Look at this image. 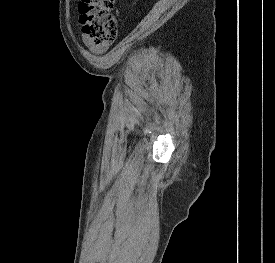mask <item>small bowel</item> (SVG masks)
I'll return each mask as SVG.
<instances>
[{
	"instance_id": "1",
	"label": "small bowel",
	"mask_w": 275,
	"mask_h": 263,
	"mask_svg": "<svg viewBox=\"0 0 275 263\" xmlns=\"http://www.w3.org/2000/svg\"><path fill=\"white\" fill-rule=\"evenodd\" d=\"M83 41L85 45L94 53L99 54L106 51L108 48V44H95L93 41H91L88 37L85 35L83 36Z\"/></svg>"
}]
</instances>
